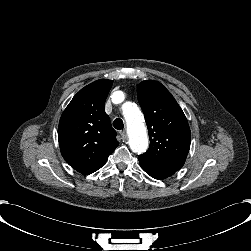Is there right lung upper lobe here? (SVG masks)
I'll use <instances>...</instances> for the list:
<instances>
[{"label": "right lung upper lobe", "instance_id": "right-lung-upper-lobe-1", "mask_svg": "<svg viewBox=\"0 0 251 251\" xmlns=\"http://www.w3.org/2000/svg\"><path fill=\"white\" fill-rule=\"evenodd\" d=\"M112 83L100 79L85 86L73 97L59 121L61 154L83 175L100 169L119 144L104 110Z\"/></svg>", "mask_w": 251, "mask_h": 251}]
</instances>
